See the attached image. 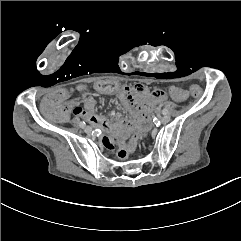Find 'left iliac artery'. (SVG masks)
<instances>
[{"mask_svg": "<svg viewBox=\"0 0 241 241\" xmlns=\"http://www.w3.org/2000/svg\"><path fill=\"white\" fill-rule=\"evenodd\" d=\"M162 113H163V115H167L168 114V110L167 109H163Z\"/></svg>", "mask_w": 241, "mask_h": 241, "instance_id": "left-iliac-artery-1", "label": "left iliac artery"}]
</instances>
